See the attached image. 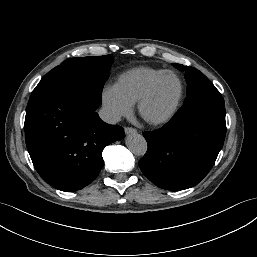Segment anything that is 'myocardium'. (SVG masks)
<instances>
[{"instance_id":"obj_1","label":"myocardium","mask_w":257,"mask_h":257,"mask_svg":"<svg viewBox=\"0 0 257 257\" xmlns=\"http://www.w3.org/2000/svg\"><path fill=\"white\" fill-rule=\"evenodd\" d=\"M167 75H173L179 81L180 91H179L178 98H177L173 108L170 110V112L168 114H166L165 116L158 118V119H149L144 115V112H143L144 106L147 103V101L150 99V97L152 96L156 85ZM184 96H185V84H184V81L181 78V76L172 70H166V71L162 72L161 74H159L158 76H156L149 83V85L147 86V88L145 89V91L143 92L141 97L139 98V100L137 102L138 114H139L140 118L148 125L155 126V127L164 126V125L168 124L169 122H171L176 117V115L178 114V112L180 111V109L182 107Z\"/></svg>"}]
</instances>
